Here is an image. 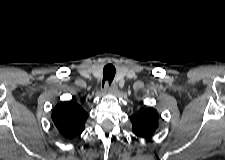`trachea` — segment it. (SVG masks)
Wrapping results in <instances>:
<instances>
[{
  "instance_id": "obj_1",
  "label": "trachea",
  "mask_w": 225,
  "mask_h": 160,
  "mask_svg": "<svg viewBox=\"0 0 225 160\" xmlns=\"http://www.w3.org/2000/svg\"><path fill=\"white\" fill-rule=\"evenodd\" d=\"M115 73H116V69H115L114 65L107 64L103 68V85L106 81L110 85L115 77Z\"/></svg>"
}]
</instances>
